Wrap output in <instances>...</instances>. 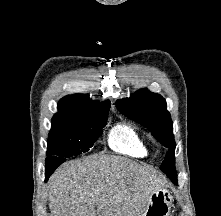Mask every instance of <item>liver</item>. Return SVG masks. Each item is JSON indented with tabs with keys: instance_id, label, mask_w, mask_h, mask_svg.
Instances as JSON below:
<instances>
[{
	"instance_id": "obj_1",
	"label": "liver",
	"mask_w": 221,
	"mask_h": 216,
	"mask_svg": "<svg viewBox=\"0 0 221 216\" xmlns=\"http://www.w3.org/2000/svg\"><path fill=\"white\" fill-rule=\"evenodd\" d=\"M165 183L151 167L93 154L58 168L49 179L47 196L51 216H141L150 195Z\"/></svg>"
}]
</instances>
